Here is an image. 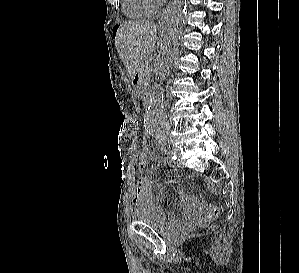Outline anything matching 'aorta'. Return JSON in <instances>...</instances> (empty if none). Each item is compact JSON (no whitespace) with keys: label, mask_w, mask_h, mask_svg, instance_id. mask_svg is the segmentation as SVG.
<instances>
[{"label":"aorta","mask_w":299,"mask_h":273,"mask_svg":"<svg viewBox=\"0 0 299 273\" xmlns=\"http://www.w3.org/2000/svg\"><path fill=\"white\" fill-rule=\"evenodd\" d=\"M186 6V0L175 1L163 33L156 74L158 83L150 97L144 120L147 133L156 138L165 137L168 131V119L163 106L162 84L169 73L170 64L178 52L179 40L183 31Z\"/></svg>","instance_id":"obj_1"}]
</instances>
